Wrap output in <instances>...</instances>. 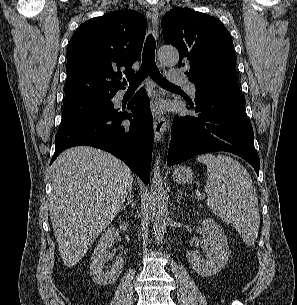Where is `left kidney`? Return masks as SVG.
<instances>
[{"label": "left kidney", "instance_id": "left-kidney-1", "mask_svg": "<svg viewBox=\"0 0 297 305\" xmlns=\"http://www.w3.org/2000/svg\"><path fill=\"white\" fill-rule=\"evenodd\" d=\"M205 235L203 249L205 259L196 252H187L188 262L202 277H210L219 273L230 258L229 246L226 235L221 227L212 219L207 218L202 223Z\"/></svg>", "mask_w": 297, "mask_h": 305}]
</instances>
